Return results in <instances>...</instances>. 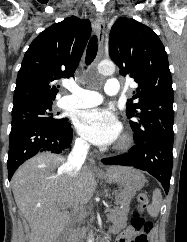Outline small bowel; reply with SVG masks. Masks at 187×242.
I'll return each mask as SVG.
<instances>
[{"instance_id":"c3829d8e","label":"small bowel","mask_w":187,"mask_h":242,"mask_svg":"<svg viewBox=\"0 0 187 242\" xmlns=\"http://www.w3.org/2000/svg\"><path fill=\"white\" fill-rule=\"evenodd\" d=\"M111 232L118 234L117 242H130L134 230L124 222H120L112 227Z\"/></svg>"}]
</instances>
